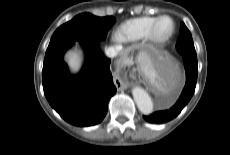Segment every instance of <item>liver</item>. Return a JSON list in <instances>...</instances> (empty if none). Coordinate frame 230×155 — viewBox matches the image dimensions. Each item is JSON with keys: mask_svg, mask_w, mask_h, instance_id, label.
<instances>
[{"mask_svg": "<svg viewBox=\"0 0 230 155\" xmlns=\"http://www.w3.org/2000/svg\"><path fill=\"white\" fill-rule=\"evenodd\" d=\"M65 60L69 66L71 73L76 74L82 68L84 63V51L80 47H76L73 51L66 54Z\"/></svg>", "mask_w": 230, "mask_h": 155, "instance_id": "liver-1", "label": "liver"}]
</instances>
